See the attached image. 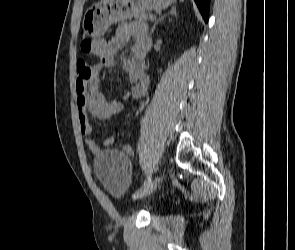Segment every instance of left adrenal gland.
<instances>
[{
    "instance_id": "obj_1",
    "label": "left adrenal gland",
    "mask_w": 295,
    "mask_h": 250,
    "mask_svg": "<svg viewBox=\"0 0 295 250\" xmlns=\"http://www.w3.org/2000/svg\"><path fill=\"white\" fill-rule=\"evenodd\" d=\"M168 15L177 17V11H176V7H172L171 11L168 13ZM167 17V15L161 16V18H159L158 20L155 21L150 34H152L156 28V26L158 25L159 22H161L162 20H164Z\"/></svg>"
}]
</instances>
